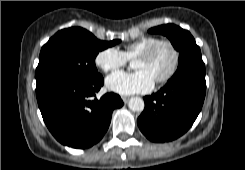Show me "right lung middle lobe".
Segmentation results:
<instances>
[{"mask_svg": "<svg viewBox=\"0 0 245 170\" xmlns=\"http://www.w3.org/2000/svg\"><path fill=\"white\" fill-rule=\"evenodd\" d=\"M119 42L100 41L80 27L57 32L41 49L36 68V93L62 82L100 77L95 66L97 54Z\"/></svg>", "mask_w": 245, "mask_h": 170, "instance_id": "1", "label": "right lung middle lobe"}]
</instances>
